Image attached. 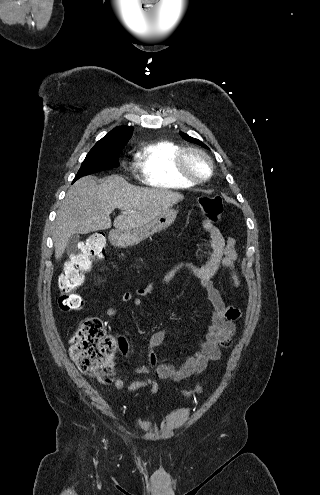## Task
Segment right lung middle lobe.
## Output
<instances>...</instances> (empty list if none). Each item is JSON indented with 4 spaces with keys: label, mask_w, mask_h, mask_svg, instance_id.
Masks as SVG:
<instances>
[{
    "label": "right lung middle lobe",
    "mask_w": 320,
    "mask_h": 495,
    "mask_svg": "<svg viewBox=\"0 0 320 495\" xmlns=\"http://www.w3.org/2000/svg\"><path fill=\"white\" fill-rule=\"evenodd\" d=\"M122 147H97L94 146L87 154L85 160L74 179L93 174L99 171L119 167V154ZM73 181V182H74Z\"/></svg>",
    "instance_id": "obj_1"
}]
</instances>
